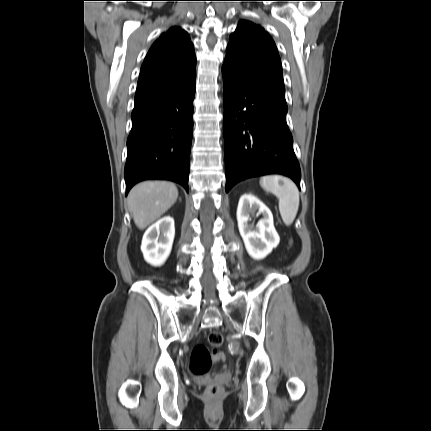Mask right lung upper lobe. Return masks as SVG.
Returning <instances> with one entry per match:
<instances>
[{"label": "right lung upper lobe", "instance_id": "obj_1", "mask_svg": "<svg viewBox=\"0 0 431 431\" xmlns=\"http://www.w3.org/2000/svg\"><path fill=\"white\" fill-rule=\"evenodd\" d=\"M196 57L188 33L178 27L154 42L141 67L134 108L162 100L195 79Z\"/></svg>", "mask_w": 431, "mask_h": 431}]
</instances>
